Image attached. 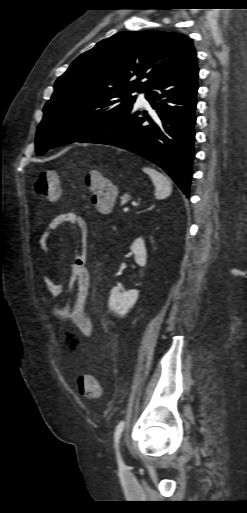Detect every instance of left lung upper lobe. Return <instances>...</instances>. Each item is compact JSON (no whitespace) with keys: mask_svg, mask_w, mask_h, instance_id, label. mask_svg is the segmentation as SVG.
I'll return each instance as SVG.
<instances>
[{"mask_svg":"<svg viewBox=\"0 0 247 513\" xmlns=\"http://www.w3.org/2000/svg\"><path fill=\"white\" fill-rule=\"evenodd\" d=\"M196 57L181 34L121 32L80 55L60 76L37 128L36 152L82 140L133 107L134 92H147Z\"/></svg>","mask_w":247,"mask_h":513,"instance_id":"1","label":"left lung upper lobe"}]
</instances>
